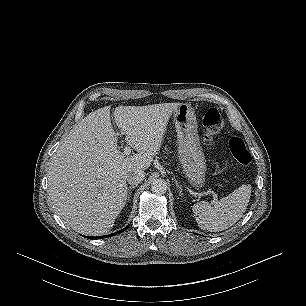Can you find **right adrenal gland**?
Instances as JSON below:
<instances>
[{
	"mask_svg": "<svg viewBox=\"0 0 306 306\" xmlns=\"http://www.w3.org/2000/svg\"><path fill=\"white\" fill-rule=\"evenodd\" d=\"M136 187V185H132L128 188V194H127V202H129L131 194H132V190Z\"/></svg>",
	"mask_w": 306,
	"mask_h": 306,
	"instance_id": "obj_1",
	"label": "right adrenal gland"
}]
</instances>
